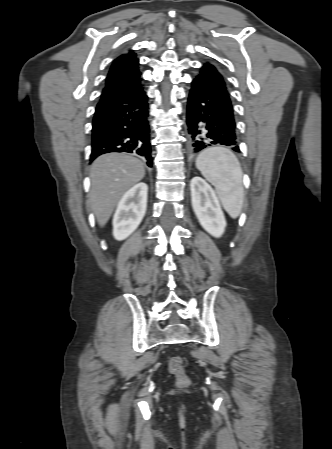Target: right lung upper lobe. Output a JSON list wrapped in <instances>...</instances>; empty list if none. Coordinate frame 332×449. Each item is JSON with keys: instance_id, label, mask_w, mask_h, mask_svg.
Instances as JSON below:
<instances>
[{"instance_id": "right-lung-upper-lobe-1", "label": "right lung upper lobe", "mask_w": 332, "mask_h": 449, "mask_svg": "<svg viewBox=\"0 0 332 449\" xmlns=\"http://www.w3.org/2000/svg\"><path fill=\"white\" fill-rule=\"evenodd\" d=\"M138 65L139 59L132 50L119 56L110 68L101 99L123 97L140 91L142 78Z\"/></svg>"}]
</instances>
